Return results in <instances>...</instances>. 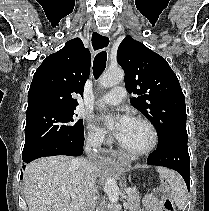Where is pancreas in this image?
<instances>
[{
  "label": "pancreas",
  "mask_w": 209,
  "mask_h": 211,
  "mask_svg": "<svg viewBox=\"0 0 209 211\" xmlns=\"http://www.w3.org/2000/svg\"><path fill=\"white\" fill-rule=\"evenodd\" d=\"M130 211H138L140 209V194L136 187L131 189L126 196Z\"/></svg>",
  "instance_id": "cf45deb5"
}]
</instances>
